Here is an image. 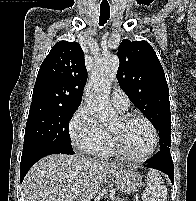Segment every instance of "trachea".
Here are the masks:
<instances>
[{
  "instance_id": "trachea-1",
  "label": "trachea",
  "mask_w": 196,
  "mask_h": 201,
  "mask_svg": "<svg viewBox=\"0 0 196 201\" xmlns=\"http://www.w3.org/2000/svg\"><path fill=\"white\" fill-rule=\"evenodd\" d=\"M110 17V7H100L99 25L103 26Z\"/></svg>"
}]
</instances>
